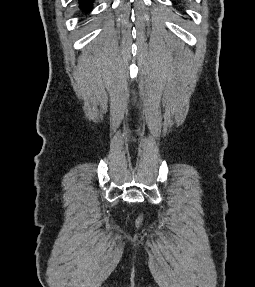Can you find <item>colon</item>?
Returning <instances> with one entry per match:
<instances>
[{"label":"colon","mask_w":255,"mask_h":287,"mask_svg":"<svg viewBox=\"0 0 255 287\" xmlns=\"http://www.w3.org/2000/svg\"><path fill=\"white\" fill-rule=\"evenodd\" d=\"M142 222H143V217H142V216L138 217L137 220H136V222H135V223H136V226L139 227V226L142 224Z\"/></svg>","instance_id":"1"}]
</instances>
